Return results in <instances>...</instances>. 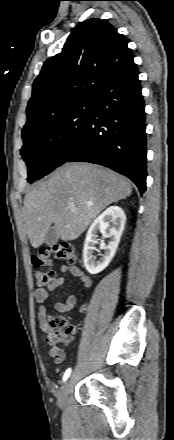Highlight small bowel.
Listing matches in <instances>:
<instances>
[{
    "mask_svg": "<svg viewBox=\"0 0 174 440\" xmlns=\"http://www.w3.org/2000/svg\"><path fill=\"white\" fill-rule=\"evenodd\" d=\"M60 270L62 273H64V274L70 273L75 278L80 280L85 288L90 287L91 280L80 267L75 266V265H65L64 264L61 266ZM63 284H64V278L59 277V278H56L48 287L38 288L35 290V293H34L35 300L39 304L38 320L40 323V327L45 332H48V330H49V328H48L49 316H48V311L45 306V303L47 302V300L49 298L50 291L62 286ZM77 301L78 300H77L76 296L70 295L66 298V300L64 302H56L54 304V309L57 312H61V313L68 312L76 306ZM85 310H86L85 305H81L78 309V311L80 313H83ZM49 354L54 358V360L57 364H60L64 361V358H65L64 352H63V350H61L58 347H51L49 350Z\"/></svg>",
    "mask_w": 174,
    "mask_h": 440,
    "instance_id": "small-bowel-1",
    "label": "small bowel"
}]
</instances>
